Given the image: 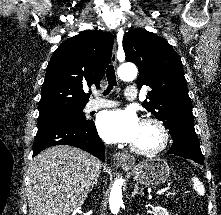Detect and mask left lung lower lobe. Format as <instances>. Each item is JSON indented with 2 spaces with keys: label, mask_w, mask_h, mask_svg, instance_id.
Segmentation results:
<instances>
[{
  "label": "left lung lower lobe",
  "mask_w": 221,
  "mask_h": 215,
  "mask_svg": "<svg viewBox=\"0 0 221 215\" xmlns=\"http://www.w3.org/2000/svg\"><path fill=\"white\" fill-rule=\"evenodd\" d=\"M173 137V144L167 154H175L199 164L204 163V157L200 149V144L195 132L182 131L170 133Z\"/></svg>",
  "instance_id": "1"
}]
</instances>
